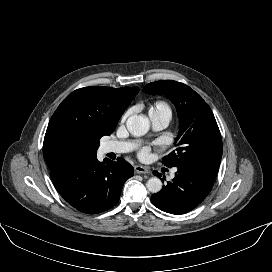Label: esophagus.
<instances>
[{
	"mask_svg": "<svg viewBox=\"0 0 272 272\" xmlns=\"http://www.w3.org/2000/svg\"><path fill=\"white\" fill-rule=\"evenodd\" d=\"M134 170L136 173H139V174H148L150 172L147 167L142 165H136Z\"/></svg>",
	"mask_w": 272,
	"mask_h": 272,
	"instance_id": "esophagus-1",
	"label": "esophagus"
}]
</instances>
